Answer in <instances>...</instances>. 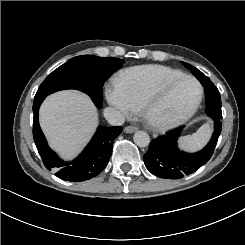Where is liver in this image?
<instances>
[{
	"label": "liver",
	"mask_w": 245,
	"mask_h": 245,
	"mask_svg": "<svg viewBox=\"0 0 245 245\" xmlns=\"http://www.w3.org/2000/svg\"><path fill=\"white\" fill-rule=\"evenodd\" d=\"M39 119L50 147L68 160L75 157L91 138L98 124V113L86 94L66 90L46 98Z\"/></svg>",
	"instance_id": "obj_1"
}]
</instances>
